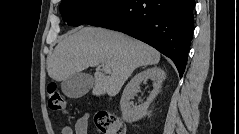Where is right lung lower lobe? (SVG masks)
<instances>
[{
	"label": "right lung lower lobe",
	"mask_w": 239,
	"mask_h": 134,
	"mask_svg": "<svg viewBox=\"0 0 239 134\" xmlns=\"http://www.w3.org/2000/svg\"><path fill=\"white\" fill-rule=\"evenodd\" d=\"M195 0H117L85 24L128 34L171 58L182 77L194 26Z\"/></svg>",
	"instance_id": "98d812e1"
}]
</instances>
